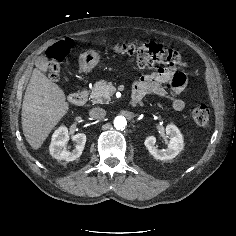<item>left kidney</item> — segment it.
<instances>
[{
    "instance_id": "left-kidney-1",
    "label": "left kidney",
    "mask_w": 236,
    "mask_h": 236,
    "mask_svg": "<svg viewBox=\"0 0 236 236\" xmlns=\"http://www.w3.org/2000/svg\"><path fill=\"white\" fill-rule=\"evenodd\" d=\"M166 134L170 138V142L166 150H160L156 147V138L154 136H149L144 141V145L155 159L171 160L175 158L184 148L183 136L177 126L173 124L167 125Z\"/></svg>"
}]
</instances>
